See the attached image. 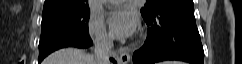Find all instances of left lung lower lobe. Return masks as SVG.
I'll list each match as a JSON object with an SVG mask.
<instances>
[{
    "instance_id": "1",
    "label": "left lung lower lobe",
    "mask_w": 242,
    "mask_h": 64,
    "mask_svg": "<svg viewBox=\"0 0 242 64\" xmlns=\"http://www.w3.org/2000/svg\"><path fill=\"white\" fill-rule=\"evenodd\" d=\"M149 26L144 45L134 52L136 64L179 60L203 64L204 51L196 27L193 0H170L152 15L143 16Z\"/></svg>"
}]
</instances>
